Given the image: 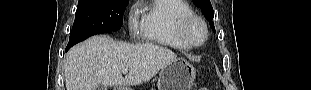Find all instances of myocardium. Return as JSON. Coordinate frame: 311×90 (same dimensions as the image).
<instances>
[{"mask_svg": "<svg viewBox=\"0 0 311 90\" xmlns=\"http://www.w3.org/2000/svg\"><path fill=\"white\" fill-rule=\"evenodd\" d=\"M198 25L202 29V38L200 40H195L191 36V29ZM178 34L181 37V39L184 41L185 44H187L190 47H200L202 46L208 37V28L206 22L199 16L192 15L189 17L184 18L178 28Z\"/></svg>", "mask_w": 311, "mask_h": 90, "instance_id": "1", "label": "myocardium"}]
</instances>
